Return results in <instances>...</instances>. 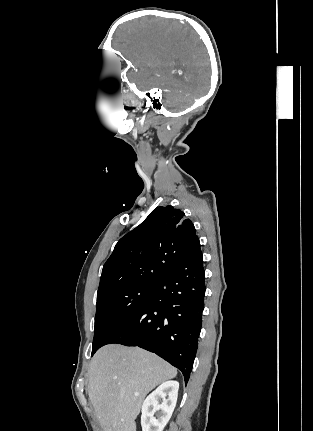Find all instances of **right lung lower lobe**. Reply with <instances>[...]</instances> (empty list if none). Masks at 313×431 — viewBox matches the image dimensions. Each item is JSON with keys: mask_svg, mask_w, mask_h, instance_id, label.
I'll use <instances>...</instances> for the list:
<instances>
[{"mask_svg": "<svg viewBox=\"0 0 313 431\" xmlns=\"http://www.w3.org/2000/svg\"><path fill=\"white\" fill-rule=\"evenodd\" d=\"M200 241L105 342L138 346L178 368L188 382L201 331L205 273Z\"/></svg>", "mask_w": 313, "mask_h": 431, "instance_id": "right-lung-lower-lobe-1", "label": "right lung lower lobe"}]
</instances>
